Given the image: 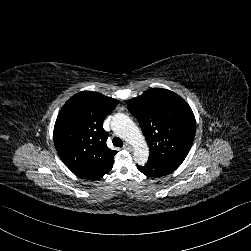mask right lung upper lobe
Returning <instances> with one entry per match:
<instances>
[{
  "instance_id": "obj_1",
  "label": "right lung upper lobe",
  "mask_w": 251,
  "mask_h": 251,
  "mask_svg": "<svg viewBox=\"0 0 251 251\" xmlns=\"http://www.w3.org/2000/svg\"><path fill=\"white\" fill-rule=\"evenodd\" d=\"M118 101L98 92L83 91L62 107L54 126L53 139L59 157L72 173L88 180L107 174L117 153L106 145L103 121Z\"/></svg>"
}]
</instances>
